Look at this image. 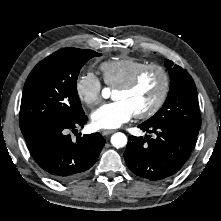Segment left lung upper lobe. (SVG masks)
<instances>
[{
	"label": "left lung upper lobe",
	"instance_id": "5c2ea615",
	"mask_svg": "<svg viewBox=\"0 0 221 221\" xmlns=\"http://www.w3.org/2000/svg\"><path fill=\"white\" fill-rule=\"evenodd\" d=\"M171 79L170 90L162 108L147 124H173L179 128L198 135L201 127L198 96L195 83L190 74L170 60L165 61Z\"/></svg>",
	"mask_w": 221,
	"mask_h": 221
}]
</instances>
